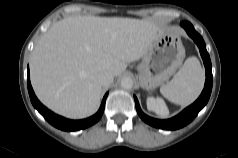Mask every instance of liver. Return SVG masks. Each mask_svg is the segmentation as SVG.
<instances>
[{
    "label": "liver",
    "instance_id": "6515ba94",
    "mask_svg": "<svg viewBox=\"0 0 238 158\" xmlns=\"http://www.w3.org/2000/svg\"><path fill=\"white\" fill-rule=\"evenodd\" d=\"M162 31L149 20L76 16L54 23L36 44L30 73L39 100L72 119L93 115L102 86L97 74L113 76L140 59Z\"/></svg>",
    "mask_w": 238,
    "mask_h": 158
}]
</instances>
